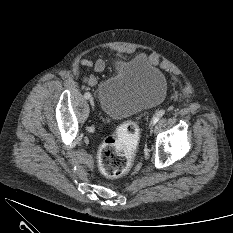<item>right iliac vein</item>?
I'll use <instances>...</instances> for the list:
<instances>
[{
  "label": "right iliac vein",
  "mask_w": 233,
  "mask_h": 233,
  "mask_svg": "<svg viewBox=\"0 0 233 233\" xmlns=\"http://www.w3.org/2000/svg\"><path fill=\"white\" fill-rule=\"evenodd\" d=\"M89 101H90V104H91L92 108H94V106H95L94 99H93V98H90Z\"/></svg>",
  "instance_id": "63e3f726"
}]
</instances>
